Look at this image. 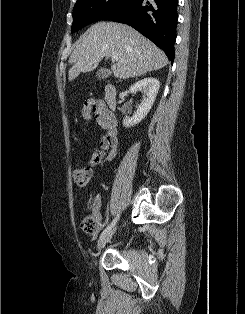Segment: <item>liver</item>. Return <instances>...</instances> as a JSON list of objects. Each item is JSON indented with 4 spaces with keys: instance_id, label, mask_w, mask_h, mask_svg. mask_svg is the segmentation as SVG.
Instances as JSON below:
<instances>
[{
    "instance_id": "obj_1",
    "label": "liver",
    "mask_w": 245,
    "mask_h": 314,
    "mask_svg": "<svg viewBox=\"0 0 245 314\" xmlns=\"http://www.w3.org/2000/svg\"><path fill=\"white\" fill-rule=\"evenodd\" d=\"M117 56L111 69L116 78L128 79L156 71L168 64L165 53L132 27L98 22L80 37L72 52L68 79L93 71L104 57Z\"/></svg>"
}]
</instances>
